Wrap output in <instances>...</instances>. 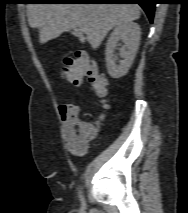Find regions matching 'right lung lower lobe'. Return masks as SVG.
<instances>
[{
    "label": "right lung lower lobe",
    "instance_id": "obj_1",
    "mask_svg": "<svg viewBox=\"0 0 188 213\" xmlns=\"http://www.w3.org/2000/svg\"><path fill=\"white\" fill-rule=\"evenodd\" d=\"M75 1H80L78 3L83 4H114V3L139 4L146 12L150 22L153 21L155 4H157L156 0H75Z\"/></svg>",
    "mask_w": 188,
    "mask_h": 213
}]
</instances>
